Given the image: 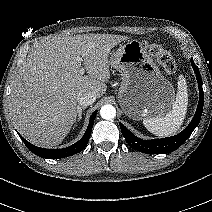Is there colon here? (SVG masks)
<instances>
[{
    "label": "colon",
    "mask_w": 212,
    "mask_h": 212,
    "mask_svg": "<svg viewBox=\"0 0 212 212\" xmlns=\"http://www.w3.org/2000/svg\"><path fill=\"white\" fill-rule=\"evenodd\" d=\"M144 49L157 60L165 72L172 74L176 71V61L171 52L157 43H144Z\"/></svg>",
    "instance_id": "obj_1"
}]
</instances>
